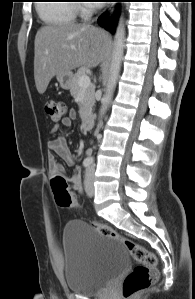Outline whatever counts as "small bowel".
Masks as SVG:
<instances>
[{
	"label": "small bowel",
	"mask_w": 195,
	"mask_h": 299,
	"mask_svg": "<svg viewBox=\"0 0 195 299\" xmlns=\"http://www.w3.org/2000/svg\"><path fill=\"white\" fill-rule=\"evenodd\" d=\"M73 118H74V112H71L69 116L61 120V125L66 129L70 128L72 126ZM58 129H59V125L58 124L54 125V127L52 128V132H57ZM48 149L50 152L56 153L60 157H62L68 166H74L75 164L74 158L67 147V143L64 135H59L53 140H51L48 143ZM49 168L53 173L63 172L62 167L56 161H54L52 157H49ZM67 178L71 184V188H73L79 193L83 192L81 176L78 170H75L74 174L71 177H67Z\"/></svg>",
	"instance_id": "1"
}]
</instances>
